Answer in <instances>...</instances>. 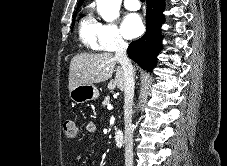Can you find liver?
<instances>
[{"label": "liver", "mask_w": 227, "mask_h": 166, "mask_svg": "<svg viewBox=\"0 0 227 166\" xmlns=\"http://www.w3.org/2000/svg\"><path fill=\"white\" fill-rule=\"evenodd\" d=\"M118 63L112 53H82L75 55L69 67V91L78 85L95 84L110 79ZM124 88L122 67L116 69L115 79L108 84L109 89Z\"/></svg>", "instance_id": "1"}]
</instances>
